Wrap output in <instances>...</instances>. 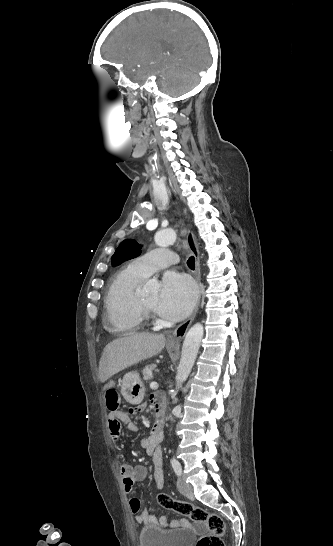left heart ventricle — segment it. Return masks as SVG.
<instances>
[{
    "mask_svg": "<svg viewBox=\"0 0 333 546\" xmlns=\"http://www.w3.org/2000/svg\"><path fill=\"white\" fill-rule=\"evenodd\" d=\"M141 299L143 300V302L148 307L156 309L157 302H158V294L157 293L141 296Z\"/></svg>",
    "mask_w": 333,
    "mask_h": 546,
    "instance_id": "obj_1",
    "label": "left heart ventricle"
}]
</instances>
